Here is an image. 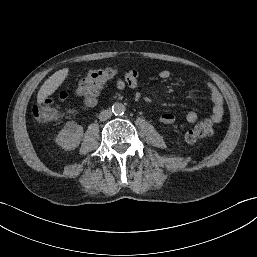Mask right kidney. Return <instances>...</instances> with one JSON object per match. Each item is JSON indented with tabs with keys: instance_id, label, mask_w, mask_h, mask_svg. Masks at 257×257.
<instances>
[{
	"instance_id": "right-kidney-1",
	"label": "right kidney",
	"mask_w": 257,
	"mask_h": 257,
	"mask_svg": "<svg viewBox=\"0 0 257 257\" xmlns=\"http://www.w3.org/2000/svg\"><path fill=\"white\" fill-rule=\"evenodd\" d=\"M82 136L83 127L74 121H69L58 133L56 143L65 150H74L79 146Z\"/></svg>"
}]
</instances>
